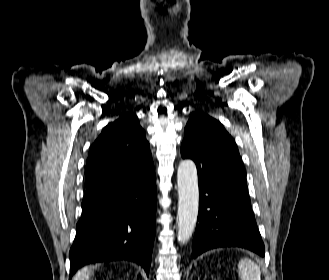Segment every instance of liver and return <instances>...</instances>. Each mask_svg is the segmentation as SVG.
I'll use <instances>...</instances> for the list:
<instances>
[{"label": "liver", "instance_id": "obj_1", "mask_svg": "<svg viewBox=\"0 0 329 280\" xmlns=\"http://www.w3.org/2000/svg\"><path fill=\"white\" fill-rule=\"evenodd\" d=\"M88 268L83 269L75 278L74 280H88L89 279V273H88Z\"/></svg>", "mask_w": 329, "mask_h": 280}]
</instances>
